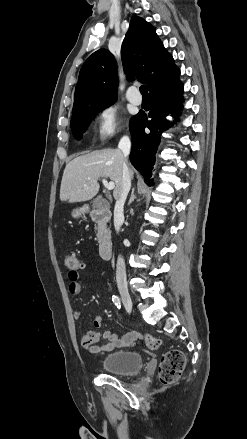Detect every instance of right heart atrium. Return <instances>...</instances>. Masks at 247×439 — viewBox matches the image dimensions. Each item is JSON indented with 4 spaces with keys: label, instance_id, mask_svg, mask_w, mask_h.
I'll return each instance as SVG.
<instances>
[{
    "label": "right heart atrium",
    "instance_id": "obj_1",
    "mask_svg": "<svg viewBox=\"0 0 247 439\" xmlns=\"http://www.w3.org/2000/svg\"><path fill=\"white\" fill-rule=\"evenodd\" d=\"M96 133L101 143H106L123 131L118 109L114 105H106L96 114Z\"/></svg>",
    "mask_w": 247,
    "mask_h": 439
}]
</instances>
